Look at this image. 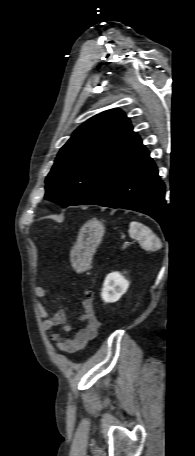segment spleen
Returning a JSON list of instances; mask_svg holds the SVG:
<instances>
[{
	"label": "spleen",
	"instance_id": "obj_1",
	"mask_svg": "<svg viewBox=\"0 0 195 456\" xmlns=\"http://www.w3.org/2000/svg\"><path fill=\"white\" fill-rule=\"evenodd\" d=\"M129 234L132 238L139 241L140 245L147 250H153L161 247V242L152 230L139 222H131L129 225Z\"/></svg>",
	"mask_w": 195,
	"mask_h": 456
}]
</instances>
